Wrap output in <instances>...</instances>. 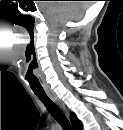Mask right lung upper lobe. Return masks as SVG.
Returning <instances> with one entry per match:
<instances>
[{
	"mask_svg": "<svg viewBox=\"0 0 123 130\" xmlns=\"http://www.w3.org/2000/svg\"><path fill=\"white\" fill-rule=\"evenodd\" d=\"M71 122L76 130H82V124L80 120L77 118L75 113H71L70 115Z\"/></svg>",
	"mask_w": 123,
	"mask_h": 130,
	"instance_id": "right-lung-upper-lobe-1",
	"label": "right lung upper lobe"
}]
</instances>
